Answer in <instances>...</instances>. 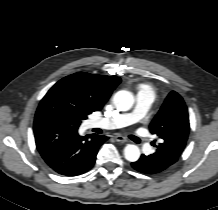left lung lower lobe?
I'll use <instances>...</instances> for the list:
<instances>
[{
  "instance_id": "obj_1",
  "label": "left lung lower lobe",
  "mask_w": 218,
  "mask_h": 210,
  "mask_svg": "<svg viewBox=\"0 0 218 210\" xmlns=\"http://www.w3.org/2000/svg\"><path fill=\"white\" fill-rule=\"evenodd\" d=\"M176 161L177 159L174 156H166L165 154L156 150L155 153L148 156L142 154L140 159L136 162H133L131 165L139 172L156 174L164 171Z\"/></svg>"
}]
</instances>
